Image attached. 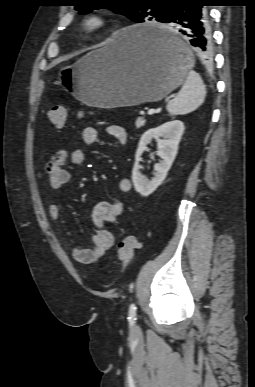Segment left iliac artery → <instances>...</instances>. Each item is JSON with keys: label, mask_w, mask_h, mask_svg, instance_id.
<instances>
[{"label": "left iliac artery", "mask_w": 255, "mask_h": 387, "mask_svg": "<svg viewBox=\"0 0 255 387\" xmlns=\"http://www.w3.org/2000/svg\"><path fill=\"white\" fill-rule=\"evenodd\" d=\"M136 316H137V307L133 303L130 305L129 312H128V319H129V322L131 325L134 324V322L136 320Z\"/></svg>", "instance_id": "obj_1"}]
</instances>
